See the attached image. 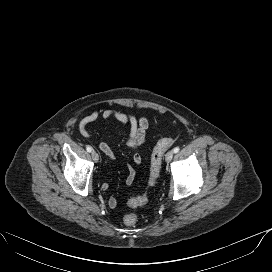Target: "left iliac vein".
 <instances>
[{"label": "left iliac vein", "mask_w": 272, "mask_h": 272, "mask_svg": "<svg viewBox=\"0 0 272 272\" xmlns=\"http://www.w3.org/2000/svg\"><path fill=\"white\" fill-rule=\"evenodd\" d=\"M173 156H174V152L172 150L168 151L165 155L166 162H170L172 160Z\"/></svg>", "instance_id": "left-iliac-vein-1"}]
</instances>
